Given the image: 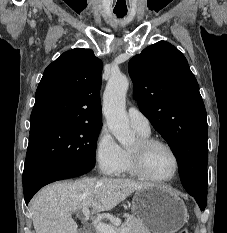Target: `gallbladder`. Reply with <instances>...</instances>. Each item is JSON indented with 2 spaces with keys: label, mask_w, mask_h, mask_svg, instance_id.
<instances>
[{
  "label": "gallbladder",
  "mask_w": 227,
  "mask_h": 233,
  "mask_svg": "<svg viewBox=\"0 0 227 233\" xmlns=\"http://www.w3.org/2000/svg\"><path fill=\"white\" fill-rule=\"evenodd\" d=\"M78 233H84L82 229H79L78 230Z\"/></svg>",
  "instance_id": "gallbladder-1"
}]
</instances>
